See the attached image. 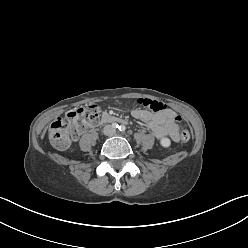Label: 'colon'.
Masks as SVG:
<instances>
[{
    "instance_id": "5ec220e1",
    "label": "colon",
    "mask_w": 248,
    "mask_h": 248,
    "mask_svg": "<svg viewBox=\"0 0 248 248\" xmlns=\"http://www.w3.org/2000/svg\"><path fill=\"white\" fill-rule=\"evenodd\" d=\"M136 103L148 107L154 111L164 110L163 103L140 98ZM99 118V110L95 105L75 109L67 114L66 118L56 119L49 128V139L52 145L58 150H65L70 146L73 139L87 127L96 123ZM176 120H179L177 117ZM181 140L187 142L190 139L189 131L181 125Z\"/></svg>"
}]
</instances>
